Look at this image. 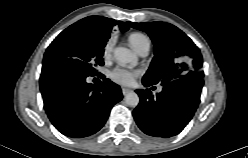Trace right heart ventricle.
<instances>
[{
    "mask_svg": "<svg viewBox=\"0 0 248 158\" xmlns=\"http://www.w3.org/2000/svg\"><path fill=\"white\" fill-rule=\"evenodd\" d=\"M128 40L132 48L138 51L143 43L148 41V38L142 33L134 32L129 35Z\"/></svg>",
    "mask_w": 248,
    "mask_h": 158,
    "instance_id": "e07e8e85",
    "label": "right heart ventricle"
}]
</instances>
